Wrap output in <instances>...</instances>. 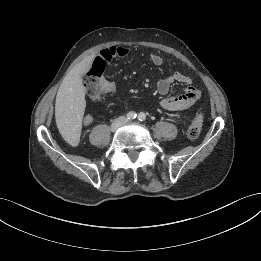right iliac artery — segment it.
<instances>
[{
  "label": "right iliac artery",
  "mask_w": 261,
  "mask_h": 261,
  "mask_svg": "<svg viewBox=\"0 0 261 261\" xmlns=\"http://www.w3.org/2000/svg\"><path fill=\"white\" fill-rule=\"evenodd\" d=\"M137 117V114L135 113V112H129L128 114H127V119H129V120H133V119H135Z\"/></svg>",
  "instance_id": "82829eb1"
}]
</instances>
